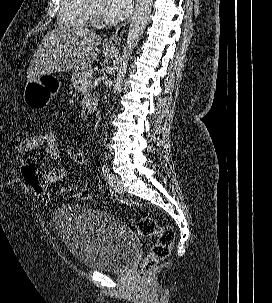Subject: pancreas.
Masks as SVG:
<instances>
[{
  "mask_svg": "<svg viewBox=\"0 0 272 303\" xmlns=\"http://www.w3.org/2000/svg\"><path fill=\"white\" fill-rule=\"evenodd\" d=\"M87 75H90V70L88 69H84V70H79V71H76L73 75H72V78H71V82H72V86L74 87V89L76 91H80V84H81V81L84 77H86ZM91 96V93L90 91H87L85 93V96H84V100L82 102V105L84 106L85 104V101L90 98Z\"/></svg>",
  "mask_w": 272,
  "mask_h": 303,
  "instance_id": "1",
  "label": "pancreas"
}]
</instances>
